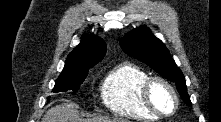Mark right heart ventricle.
Segmentation results:
<instances>
[{
  "label": "right heart ventricle",
  "mask_w": 221,
  "mask_h": 122,
  "mask_svg": "<svg viewBox=\"0 0 221 122\" xmlns=\"http://www.w3.org/2000/svg\"><path fill=\"white\" fill-rule=\"evenodd\" d=\"M149 74L132 63H122L112 68L101 86L104 105L112 113L139 120L154 121L158 117L144 105L141 87Z\"/></svg>",
  "instance_id": "obj_1"
}]
</instances>
